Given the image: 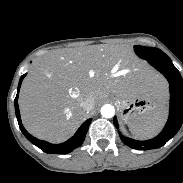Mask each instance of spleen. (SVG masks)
I'll return each instance as SVG.
<instances>
[{"instance_id":"3e777b00","label":"spleen","mask_w":183,"mask_h":183,"mask_svg":"<svg viewBox=\"0 0 183 183\" xmlns=\"http://www.w3.org/2000/svg\"><path fill=\"white\" fill-rule=\"evenodd\" d=\"M167 109L159 105L155 110L143 116L135 123L129 124L132 135L139 139H148L157 135L165 124Z\"/></svg>"}]
</instances>
